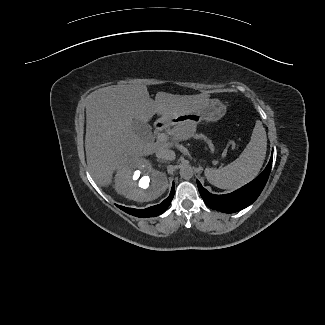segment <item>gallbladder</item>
Returning a JSON list of instances; mask_svg holds the SVG:
<instances>
[{"label": "gallbladder", "mask_w": 325, "mask_h": 325, "mask_svg": "<svg viewBox=\"0 0 325 325\" xmlns=\"http://www.w3.org/2000/svg\"><path fill=\"white\" fill-rule=\"evenodd\" d=\"M132 125H133L134 132L137 135H139L141 138L147 140L151 137L152 135L151 127L148 123L134 120Z\"/></svg>", "instance_id": "1"}]
</instances>
